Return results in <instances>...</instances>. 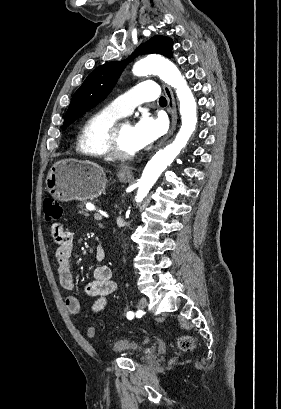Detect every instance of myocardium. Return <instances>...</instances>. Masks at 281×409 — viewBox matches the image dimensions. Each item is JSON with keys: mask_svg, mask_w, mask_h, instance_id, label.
Instances as JSON below:
<instances>
[{"mask_svg": "<svg viewBox=\"0 0 281 409\" xmlns=\"http://www.w3.org/2000/svg\"><path fill=\"white\" fill-rule=\"evenodd\" d=\"M130 124L126 119H117L112 122L105 130L103 135V147L108 156L118 160H130L137 156L138 150L134 152H123L117 146V136L120 128Z\"/></svg>", "mask_w": 281, "mask_h": 409, "instance_id": "f54148a6", "label": "myocardium"}]
</instances>
